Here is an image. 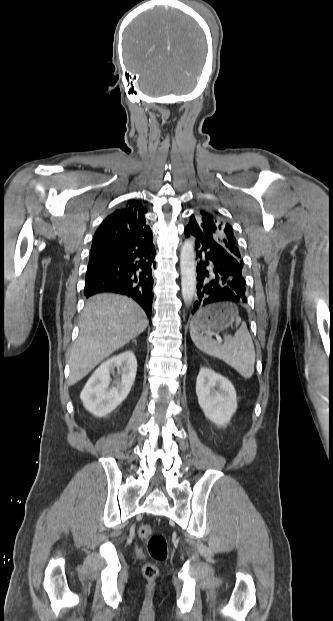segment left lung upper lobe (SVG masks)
<instances>
[{
  "mask_svg": "<svg viewBox=\"0 0 333 621\" xmlns=\"http://www.w3.org/2000/svg\"><path fill=\"white\" fill-rule=\"evenodd\" d=\"M187 226L197 228L208 237L215 239L218 244L225 248L241 265H243L232 227L221 216L210 211L202 210L197 215H192L190 217Z\"/></svg>",
  "mask_w": 333,
  "mask_h": 621,
  "instance_id": "obj_1",
  "label": "left lung upper lobe"
}]
</instances>
